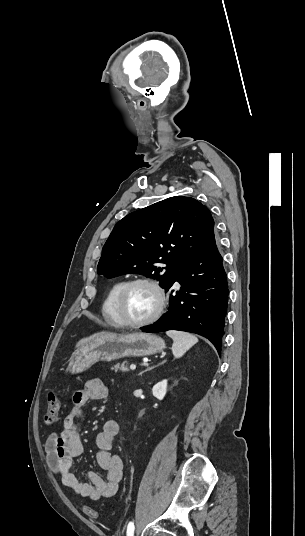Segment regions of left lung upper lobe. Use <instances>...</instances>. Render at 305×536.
Listing matches in <instances>:
<instances>
[{"mask_svg": "<svg viewBox=\"0 0 305 536\" xmlns=\"http://www.w3.org/2000/svg\"><path fill=\"white\" fill-rule=\"evenodd\" d=\"M213 233L214 220L206 206L191 197L167 198L130 213L115 225L97 272L108 278L142 274L166 287Z\"/></svg>", "mask_w": 305, "mask_h": 536, "instance_id": "1", "label": "left lung upper lobe"}]
</instances>
